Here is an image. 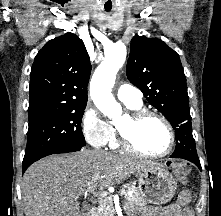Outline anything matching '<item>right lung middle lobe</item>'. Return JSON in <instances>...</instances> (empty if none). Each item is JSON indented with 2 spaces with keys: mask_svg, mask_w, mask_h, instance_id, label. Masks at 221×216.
I'll list each match as a JSON object with an SVG mask.
<instances>
[{
  "mask_svg": "<svg viewBox=\"0 0 221 216\" xmlns=\"http://www.w3.org/2000/svg\"><path fill=\"white\" fill-rule=\"evenodd\" d=\"M85 107L68 108L29 119L23 164L56 150L85 146L81 129Z\"/></svg>",
  "mask_w": 221,
  "mask_h": 216,
  "instance_id": "right-lung-middle-lobe-1",
  "label": "right lung middle lobe"
}]
</instances>
